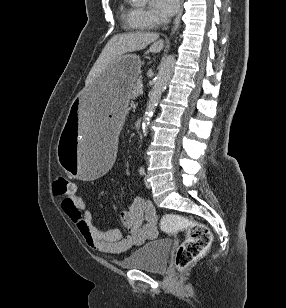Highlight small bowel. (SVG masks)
Returning <instances> with one entry per match:
<instances>
[{"label": "small bowel", "instance_id": "c3829d8e", "mask_svg": "<svg viewBox=\"0 0 286 308\" xmlns=\"http://www.w3.org/2000/svg\"><path fill=\"white\" fill-rule=\"evenodd\" d=\"M61 206L85 242L103 253L123 254L157 237L158 217L155 208L150 200L143 197L135 198L128 209L119 214L127 235H123L119 229H99L81 195H68Z\"/></svg>", "mask_w": 286, "mask_h": 308}]
</instances>
